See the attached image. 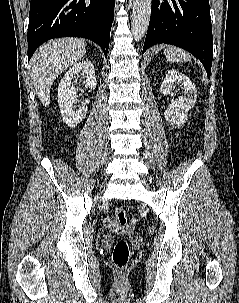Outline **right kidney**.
Returning a JSON list of instances; mask_svg holds the SVG:
<instances>
[{"label": "right kidney", "instance_id": "1", "mask_svg": "<svg viewBox=\"0 0 239 303\" xmlns=\"http://www.w3.org/2000/svg\"><path fill=\"white\" fill-rule=\"evenodd\" d=\"M78 74L86 76V87L89 89L94 90L97 86L95 69L88 60L76 63L65 73L58 87V103L64 122L71 128H75L86 117L89 103L87 99L82 107L73 109L78 89L73 86L72 80Z\"/></svg>", "mask_w": 239, "mask_h": 303}]
</instances>
